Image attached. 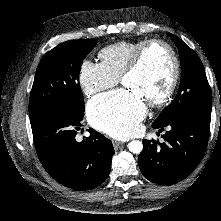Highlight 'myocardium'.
<instances>
[{
	"instance_id": "myocardium-1",
	"label": "myocardium",
	"mask_w": 221,
	"mask_h": 221,
	"mask_svg": "<svg viewBox=\"0 0 221 221\" xmlns=\"http://www.w3.org/2000/svg\"><path fill=\"white\" fill-rule=\"evenodd\" d=\"M155 45L161 46L167 51L170 61H171V72L169 76V82L164 92L156 99L147 101V104L150 107H160V106L165 105L171 99V97L173 96L175 92L178 78H179L180 65H179V60L176 55V52L174 51L172 46L168 42L162 39L153 38V39L145 40L135 50L130 63L127 65V67L125 68L121 76V81L123 82L126 77L136 72L142 63L143 57L145 53L147 52V50L150 47L155 46Z\"/></svg>"
}]
</instances>
